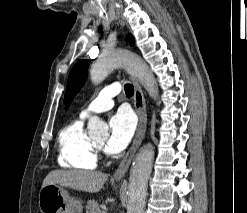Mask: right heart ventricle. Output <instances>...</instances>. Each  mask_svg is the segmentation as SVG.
<instances>
[{"instance_id":"obj_1","label":"right heart ventricle","mask_w":247,"mask_h":213,"mask_svg":"<svg viewBox=\"0 0 247 213\" xmlns=\"http://www.w3.org/2000/svg\"><path fill=\"white\" fill-rule=\"evenodd\" d=\"M58 163L63 168L93 170L98 159L88 137L83 119H76L62 128L58 136Z\"/></svg>"}]
</instances>
